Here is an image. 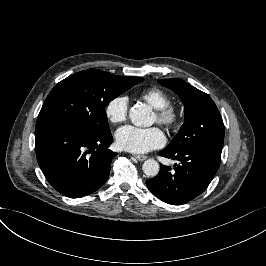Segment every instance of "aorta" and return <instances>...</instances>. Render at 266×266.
<instances>
[{"instance_id":"1","label":"aorta","mask_w":266,"mask_h":266,"mask_svg":"<svg viewBox=\"0 0 266 266\" xmlns=\"http://www.w3.org/2000/svg\"><path fill=\"white\" fill-rule=\"evenodd\" d=\"M129 118L135 126L140 127H149L154 122L151 109L145 104L132 106L129 109ZM142 170L148 177H155L159 174L160 165L157 161L149 159L143 163Z\"/></svg>"}]
</instances>
